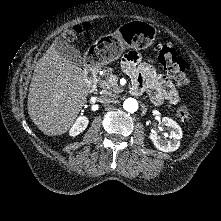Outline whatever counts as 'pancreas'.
Returning a JSON list of instances; mask_svg holds the SVG:
<instances>
[{
    "label": "pancreas",
    "instance_id": "1",
    "mask_svg": "<svg viewBox=\"0 0 221 221\" xmlns=\"http://www.w3.org/2000/svg\"><path fill=\"white\" fill-rule=\"evenodd\" d=\"M101 77L98 79L100 87L104 90V92H112L119 93L122 89L118 86L117 80L110 81V76L112 75L113 69L109 67H105L102 71Z\"/></svg>",
    "mask_w": 221,
    "mask_h": 221
}]
</instances>
